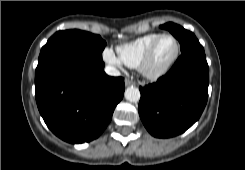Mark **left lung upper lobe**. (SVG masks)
I'll return each mask as SVG.
<instances>
[{
	"label": "left lung upper lobe",
	"instance_id": "5c2ea615",
	"mask_svg": "<svg viewBox=\"0 0 245 170\" xmlns=\"http://www.w3.org/2000/svg\"><path fill=\"white\" fill-rule=\"evenodd\" d=\"M160 28L168 30L176 39H178L182 54L188 53L205 57L203 47L192 32L171 22L161 25Z\"/></svg>",
	"mask_w": 245,
	"mask_h": 170
}]
</instances>
